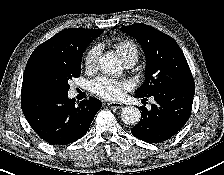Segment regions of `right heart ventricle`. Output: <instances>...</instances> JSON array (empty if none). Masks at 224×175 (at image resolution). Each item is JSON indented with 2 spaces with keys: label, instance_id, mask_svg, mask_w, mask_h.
<instances>
[{
  "label": "right heart ventricle",
  "instance_id": "right-heart-ventricle-1",
  "mask_svg": "<svg viewBox=\"0 0 224 175\" xmlns=\"http://www.w3.org/2000/svg\"><path fill=\"white\" fill-rule=\"evenodd\" d=\"M115 49L122 60L130 56H138V49L135 43L127 39H120L115 43Z\"/></svg>",
  "mask_w": 224,
  "mask_h": 175
}]
</instances>
